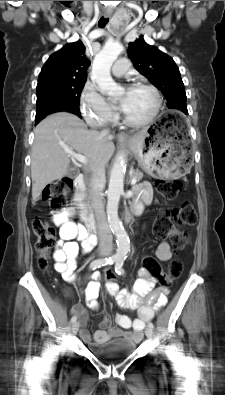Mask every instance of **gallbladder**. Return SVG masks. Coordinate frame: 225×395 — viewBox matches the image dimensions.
I'll return each mask as SVG.
<instances>
[{"mask_svg": "<svg viewBox=\"0 0 225 395\" xmlns=\"http://www.w3.org/2000/svg\"><path fill=\"white\" fill-rule=\"evenodd\" d=\"M77 174H78V171L76 168L69 167L68 172H67L68 177H76Z\"/></svg>", "mask_w": 225, "mask_h": 395, "instance_id": "1", "label": "gallbladder"}]
</instances>
